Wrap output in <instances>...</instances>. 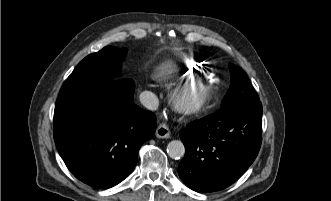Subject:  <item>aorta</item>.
I'll use <instances>...</instances> for the list:
<instances>
[{"instance_id":"obj_1","label":"aorta","mask_w":331,"mask_h":201,"mask_svg":"<svg viewBox=\"0 0 331 201\" xmlns=\"http://www.w3.org/2000/svg\"><path fill=\"white\" fill-rule=\"evenodd\" d=\"M167 153L173 159H179L185 154V147L179 140H173L167 145Z\"/></svg>"}]
</instances>
